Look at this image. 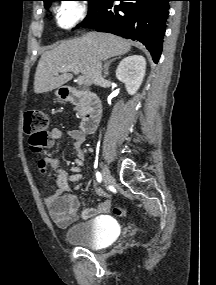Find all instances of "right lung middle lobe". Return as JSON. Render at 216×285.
Masks as SVG:
<instances>
[{
	"label": "right lung middle lobe",
	"mask_w": 216,
	"mask_h": 285,
	"mask_svg": "<svg viewBox=\"0 0 216 285\" xmlns=\"http://www.w3.org/2000/svg\"><path fill=\"white\" fill-rule=\"evenodd\" d=\"M52 1H61V0H49L48 2L44 3V6L46 9H48L50 7V4ZM88 1L89 3V11H88V15L86 17V19L82 22L84 23L94 12V10L96 9L98 3L101 1V0H86ZM81 26V24L77 25V28Z\"/></svg>",
	"instance_id": "obj_1"
}]
</instances>
